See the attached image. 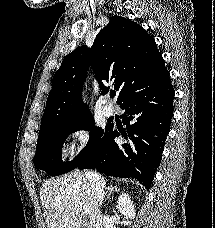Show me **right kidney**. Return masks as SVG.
Segmentation results:
<instances>
[{
    "label": "right kidney",
    "instance_id": "obj_1",
    "mask_svg": "<svg viewBox=\"0 0 215 228\" xmlns=\"http://www.w3.org/2000/svg\"><path fill=\"white\" fill-rule=\"evenodd\" d=\"M116 208L120 214L126 216V218H130V220H134L136 216V210L134 208V204L128 196V194H121L116 202Z\"/></svg>",
    "mask_w": 215,
    "mask_h": 228
}]
</instances>
